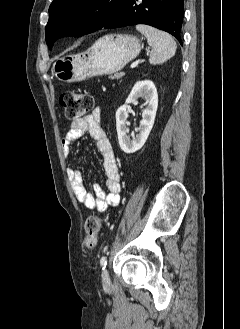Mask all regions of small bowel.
I'll return each instance as SVG.
<instances>
[{
    "label": "small bowel",
    "mask_w": 240,
    "mask_h": 329,
    "mask_svg": "<svg viewBox=\"0 0 240 329\" xmlns=\"http://www.w3.org/2000/svg\"><path fill=\"white\" fill-rule=\"evenodd\" d=\"M84 134H89L96 143V147L103 158V168L106 175V188L99 184L93 186L94 194L87 191L83 182V175L79 168L69 167L67 173L72 190L85 207L98 212H104L109 206H116L120 200V174L112 145L101 126V113L99 108L70 123L69 130L61 139V148L68 158L72 144Z\"/></svg>",
    "instance_id": "obj_1"
}]
</instances>
